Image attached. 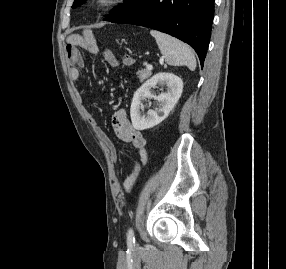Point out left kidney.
Segmentation results:
<instances>
[{
    "label": "left kidney",
    "mask_w": 286,
    "mask_h": 269,
    "mask_svg": "<svg viewBox=\"0 0 286 269\" xmlns=\"http://www.w3.org/2000/svg\"><path fill=\"white\" fill-rule=\"evenodd\" d=\"M157 84L166 85L167 92L158 96L151 93V88ZM183 90V81L172 73H157L147 80L134 94L130 108L132 125L137 130H146L161 123L174 108ZM153 98L158 102V108L149 110L141 116L140 108L144 99Z\"/></svg>",
    "instance_id": "5707ae66"
}]
</instances>
